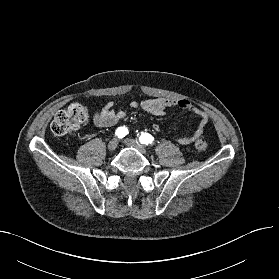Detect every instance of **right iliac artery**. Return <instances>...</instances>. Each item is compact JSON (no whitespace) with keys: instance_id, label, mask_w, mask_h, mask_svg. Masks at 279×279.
<instances>
[{"instance_id":"obj_1","label":"right iliac artery","mask_w":279,"mask_h":279,"mask_svg":"<svg viewBox=\"0 0 279 279\" xmlns=\"http://www.w3.org/2000/svg\"><path fill=\"white\" fill-rule=\"evenodd\" d=\"M128 129L123 126V127H119L117 128L116 132H115V135L118 137V138H123L125 137L127 134H128Z\"/></svg>"}]
</instances>
